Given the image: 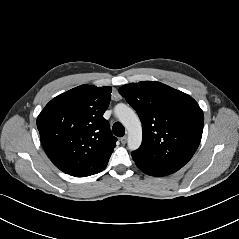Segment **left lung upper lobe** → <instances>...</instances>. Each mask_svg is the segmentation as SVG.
<instances>
[{
    "mask_svg": "<svg viewBox=\"0 0 239 239\" xmlns=\"http://www.w3.org/2000/svg\"><path fill=\"white\" fill-rule=\"evenodd\" d=\"M119 93L142 122V144L132 157L168 174L182 168L202 138L204 115L198 103L157 81L127 84Z\"/></svg>",
    "mask_w": 239,
    "mask_h": 239,
    "instance_id": "1",
    "label": "left lung upper lobe"
}]
</instances>
